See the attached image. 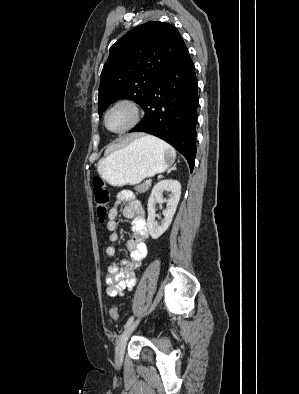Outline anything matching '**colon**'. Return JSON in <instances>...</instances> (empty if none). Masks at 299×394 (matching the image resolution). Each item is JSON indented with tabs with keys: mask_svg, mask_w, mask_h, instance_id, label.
<instances>
[{
	"mask_svg": "<svg viewBox=\"0 0 299 394\" xmlns=\"http://www.w3.org/2000/svg\"><path fill=\"white\" fill-rule=\"evenodd\" d=\"M93 196L96 206V213L98 218L102 221L106 218L108 214V206L110 203V192L107 188L105 181L97 176L93 180ZM119 313L116 307L110 309V317L112 320L116 321L118 319Z\"/></svg>",
	"mask_w": 299,
	"mask_h": 394,
	"instance_id": "obj_1",
	"label": "colon"
}]
</instances>
